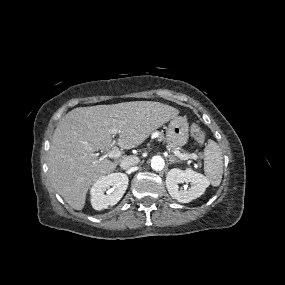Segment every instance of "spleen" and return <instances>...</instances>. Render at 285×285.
Here are the masks:
<instances>
[{
  "mask_svg": "<svg viewBox=\"0 0 285 285\" xmlns=\"http://www.w3.org/2000/svg\"><path fill=\"white\" fill-rule=\"evenodd\" d=\"M204 173L212 186H219L223 174V156L219 145L209 140L204 149Z\"/></svg>",
  "mask_w": 285,
  "mask_h": 285,
  "instance_id": "obj_1",
  "label": "spleen"
}]
</instances>
